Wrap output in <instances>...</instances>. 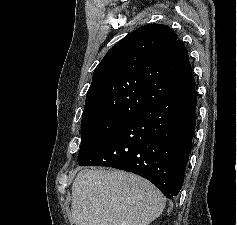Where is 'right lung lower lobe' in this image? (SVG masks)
I'll list each match as a JSON object with an SVG mask.
<instances>
[{"instance_id":"right-lung-lower-lobe-1","label":"right lung lower lobe","mask_w":237,"mask_h":225,"mask_svg":"<svg viewBox=\"0 0 237 225\" xmlns=\"http://www.w3.org/2000/svg\"><path fill=\"white\" fill-rule=\"evenodd\" d=\"M195 86L134 115L79 165L108 166L140 175L166 197L178 195L196 124Z\"/></svg>"}]
</instances>
